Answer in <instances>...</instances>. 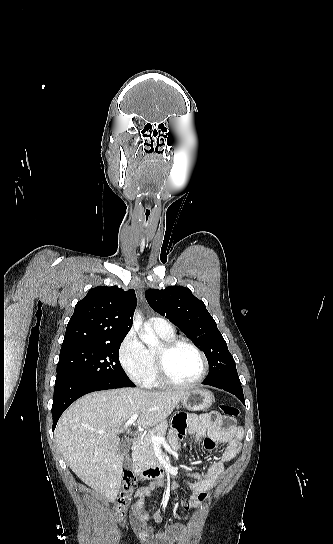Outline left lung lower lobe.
Listing matches in <instances>:
<instances>
[{
  "label": "left lung lower lobe",
  "instance_id": "left-lung-lower-lobe-1",
  "mask_svg": "<svg viewBox=\"0 0 333 544\" xmlns=\"http://www.w3.org/2000/svg\"><path fill=\"white\" fill-rule=\"evenodd\" d=\"M202 384L214 386L219 389H223L227 392H230L233 395H235L245 405L242 386H241V383L238 381H233V380H221V381H215V382L203 381Z\"/></svg>",
  "mask_w": 333,
  "mask_h": 544
}]
</instances>
